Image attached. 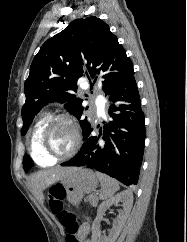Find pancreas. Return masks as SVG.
<instances>
[{"label": "pancreas", "instance_id": "pancreas-1", "mask_svg": "<svg viewBox=\"0 0 187 242\" xmlns=\"http://www.w3.org/2000/svg\"><path fill=\"white\" fill-rule=\"evenodd\" d=\"M87 201L94 207L97 206V203H98V198L94 195H91V196H88L87 197Z\"/></svg>", "mask_w": 187, "mask_h": 242}]
</instances>
